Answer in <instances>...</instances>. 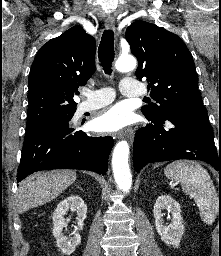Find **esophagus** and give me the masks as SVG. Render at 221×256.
<instances>
[{
    "mask_svg": "<svg viewBox=\"0 0 221 256\" xmlns=\"http://www.w3.org/2000/svg\"><path fill=\"white\" fill-rule=\"evenodd\" d=\"M105 26L107 29L115 28V20L113 17L109 16L105 21ZM117 138L127 137L130 141L134 138V130L132 128L126 129L125 131L119 132L115 135Z\"/></svg>",
    "mask_w": 221,
    "mask_h": 256,
    "instance_id": "34e87169",
    "label": "esophagus"
}]
</instances>
